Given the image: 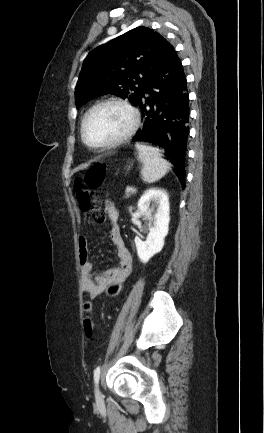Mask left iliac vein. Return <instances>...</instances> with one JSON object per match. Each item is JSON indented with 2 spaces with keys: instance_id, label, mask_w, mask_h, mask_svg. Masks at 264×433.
Wrapping results in <instances>:
<instances>
[{
  "instance_id": "obj_1",
  "label": "left iliac vein",
  "mask_w": 264,
  "mask_h": 433,
  "mask_svg": "<svg viewBox=\"0 0 264 433\" xmlns=\"http://www.w3.org/2000/svg\"><path fill=\"white\" fill-rule=\"evenodd\" d=\"M95 397H96V401H97L98 403H100V402L103 401V396H102V393H101V391H100L99 386H96V389H95Z\"/></svg>"
}]
</instances>
